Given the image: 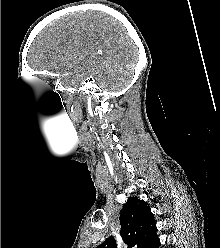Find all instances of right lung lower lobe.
I'll return each mask as SVG.
<instances>
[{
  "label": "right lung lower lobe",
  "instance_id": "obj_1",
  "mask_svg": "<svg viewBox=\"0 0 220 248\" xmlns=\"http://www.w3.org/2000/svg\"><path fill=\"white\" fill-rule=\"evenodd\" d=\"M160 241L158 240L154 245L151 246V248H159Z\"/></svg>",
  "mask_w": 220,
  "mask_h": 248
}]
</instances>
